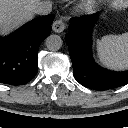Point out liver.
I'll list each match as a JSON object with an SVG mask.
<instances>
[{"label": "liver", "mask_w": 128, "mask_h": 128, "mask_svg": "<svg viewBox=\"0 0 128 128\" xmlns=\"http://www.w3.org/2000/svg\"><path fill=\"white\" fill-rule=\"evenodd\" d=\"M40 0H0V33H6L32 18Z\"/></svg>", "instance_id": "liver-1"}]
</instances>
